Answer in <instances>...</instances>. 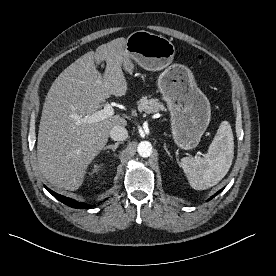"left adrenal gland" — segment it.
<instances>
[{
    "instance_id": "obj_1",
    "label": "left adrenal gland",
    "mask_w": 276,
    "mask_h": 276,
    "mask_svg": "<svg viewBox=\"0 0 276 276\" xmlns=\"http://www.w3.org/2000/svg\"><path fill=\"white\" fill-rule=\"evenodd\" d=\"M164 149H165L166 153L168 154V156L172 157L170 152L167 149L166 143H164Z\"/></svg>"
}]
</instances>
